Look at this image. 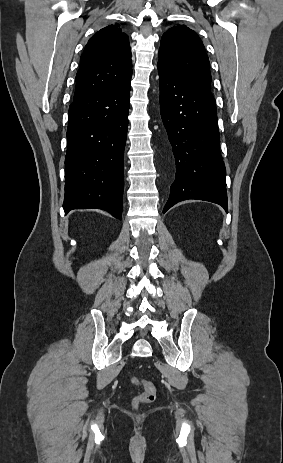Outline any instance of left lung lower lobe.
Segmentation results:
<instances>
[{
  "label": "left lung lower lobe",
  "instance_id": "1",
  "mask_svg": "<svg viewBox=\"0 0 283 463\" xmlns=\"http://www.w3.org/2000/svg\"><path fill=\"white\" fill-rule=\"evenodd\" d=\"M158 73L161 117L176 162L175 181L163 213L187 199L210 201L227 211L215 99L192 89L160 63Z\"/></svg>",
  "mask_w": 283,
  "mask_h": 463
}]
</instances>
